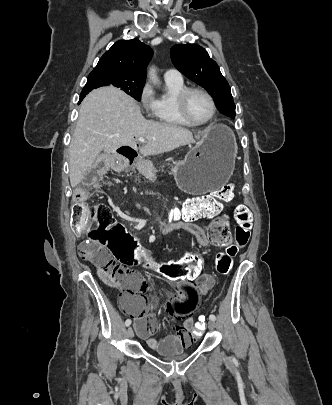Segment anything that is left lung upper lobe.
<instances>
[{
	"mask_svg": "<svg viewBox=\"0 0 332 405\" xmlns=\"http://www.w3.org/2000/svg\"><path fill=\"white\" fill-rule=\"evenodd\" d=\"M174 66L186 77L205 88L214 98L218 110L235 117V105L228 82L222 76L217 63L207 51L194 44L174 45L170 50Z\"/></svg>",
	"mask_w": 332,
	"mask_h": 405,
	"instance_id": "left-lung-upper-lobe-1",
	"label": "left lung upper lobe"
}]
</instances>
